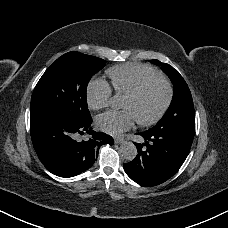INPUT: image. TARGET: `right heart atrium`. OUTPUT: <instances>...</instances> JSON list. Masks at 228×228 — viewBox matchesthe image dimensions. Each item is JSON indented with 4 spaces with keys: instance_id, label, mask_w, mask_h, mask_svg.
Here are the masks:
<instances>
[{
    "instance_id": "obj_1",
    "label": "right heart atrium",
    "mask_w": 228,
    "mask_h": 228,
    "mask_svg": "<svg viewBox=\"0 0 228 228\" xmlns=\"http://www.w3.org/2000/svg\"><path fill=\"white\" fill-rule=\"evenodd\" d=\"M87 98L89 106L94 110L106 108L113 100L111 86L105 81L91 82L88 86Z\"/></svg>"
}]
</instances>
